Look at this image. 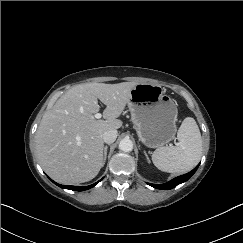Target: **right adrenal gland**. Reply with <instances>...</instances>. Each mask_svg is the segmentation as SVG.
<instances>
[{
    "mask_svg": "<svg viewBox=\"0 0 243 243\" xmlns=\"http://www.w3.org/2000/svg\"><path fill=\"white\" fill-rule=\"evenodd\" d=\"M107 149H108V146L106 145V146L104 147L103 165H104L105 162H106V158H107Z\"/></svg>",
    "mask_w": 243,
    "mask_h": 243,
    "instance_id": "1",
    "label": "right adrenal gland"
}]
</instances>
